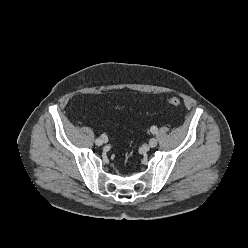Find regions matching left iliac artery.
Instances as JSON below:
<instances>
[{"mask_svg":"<svg viewBox=\"0 0 248 248\" xmlns=\"http://www.w3.org/2000/svg\"><path fill=\"white\" fill-rule=\"evenodd\" d=\"M151 132H152L153 134H156V133H157V127H156V126H152V127H151Z\"/></svg>","mask_w":248,"mask_h":248,"instance_id":"obj_1","label":"left iliac artery"}]
</instances>
